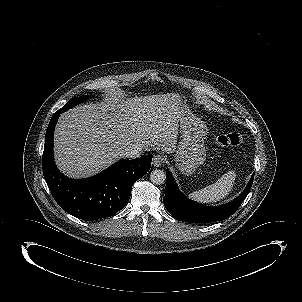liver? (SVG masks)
<instances>
[{
	"instance_id": "1",
	"label": "liver",
	"mask_w": 302,
	"mask_h": 302,
	"mask_svg": "<svg viewBox=\"0 0 302 302\" xmlns=\"http://www.w3.org/2000/svg\"><path fill=\"white\" fill-rule=\"evenodd\" d=\"M180 95L116 98L61 114L54 133L58 168L73 178L94 175L121 158L125 148L176 149Z\"/></svg>"
}]
</instances>
